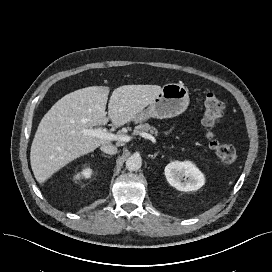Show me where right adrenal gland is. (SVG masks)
<instances>
[{
    "label": "right adrenal gland",
    "mask_w": 272,
    "mask_h": 272,
    "mask_svg": "<svg viewBox=\"0 0 272 272\" xmlns=\"http://www.w3.org/2000/svg\"><path fill=\"white\" fill-rule=\"evenodd\" d=\"M102 156L107 157V158H110L109 156H107V155H105V154H102Z\"/></svg>",
    "instance_id": "2a0ac1e0"
}]
</instances>
